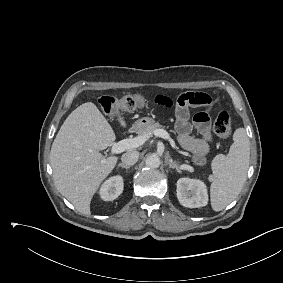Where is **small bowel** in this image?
Returning a JSON list of instances; mask_svg holds the SVG:
<instances>
[{
	"label": "small bowel",
	"mask_w": 283,
	"mask_h": 283,
	"mask_svg": "<svg viewBox=\"0 0 283 283\" xmlns=\"http://www.w3.org/2000/svg\"><path fill=\"white\" fill-rule=\"evenodd\" d=\"M154 103L174 110L176 115L175 129L180 145L191 153L196 164H204L206 154L213 140L207 111L211 104V98L207 94L200 92H187L177 99L160 94L155 96ZM198 107L205 108V110L199 111L193 116L192 125L189 120V109ZM193 126L200 134L199 138L192 135Z\"/></svg>",
	"instance_id": "1"
}]
</instances>
